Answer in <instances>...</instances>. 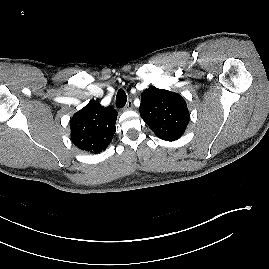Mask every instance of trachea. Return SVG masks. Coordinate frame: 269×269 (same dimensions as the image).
<instances>
[{
	"mask_svg": "<svg viewBox=\"0 0 269 269\" xmlns=\"http://www.w3.org/2000/svg\"><path fill=\"white\" fill-rule=\"evenodd\" d=\"M127 102V96L123 89H119L116 95V105L118 108H123Z\"/></svg>",
	"mask_w": 269,
	"mask_h": 269,
	"instance_id": "1",
	"label": "trachea"
}]
</instances>
